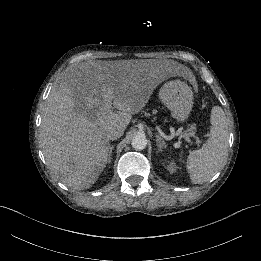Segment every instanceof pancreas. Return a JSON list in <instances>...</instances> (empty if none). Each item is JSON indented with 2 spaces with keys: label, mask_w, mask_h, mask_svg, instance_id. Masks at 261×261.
Listing matches in <instances>:
<instances>
[{
  "label": "pancreas",
  "mask_w": 261,
  "mask_h": 261,
  "mask_svg": "<svg viewBox=\"0 0 261 261\" xmlns=\"http://www.w3.org/2000/svg\"><path fill=\"white\" fill-rule=\"evenodd\" d=\"M188 135H189V136H190V135H193V132H190Z\"/></svg>",
  "instance_id": "1"
}]
</instances>
